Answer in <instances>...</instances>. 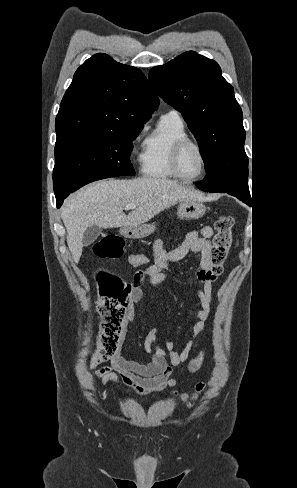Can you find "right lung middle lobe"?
<instances>
[{
	"mask_svg": "<svg viewBox=\"0 0 297 488\" xmlns=\"http://www.w3.org/2000/svg\"><path fill=\"white\" fill-rule=\"evenodd\" d=\"M143 125L78 132L57 137L53 171L56 198L103 178L134 175L130 162L132 141Z\"/></svg>",
	"mask_w": 297,
	"mask_h": 488,
	"instance_id": "dd1d6c3e",
	"label": "right lung middle lobe"
}]
</instances>
